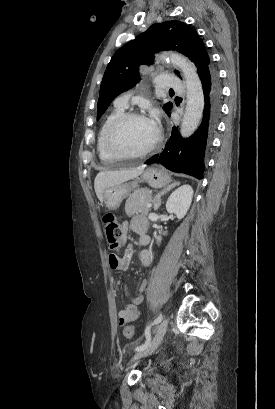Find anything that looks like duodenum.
Returning <instances> with one entry per match:
<instances>
[{
	"label": "duodenum",
	"instance_id": "obj_1",
	"mask_svg": "<svg viewBox=\"0 0 275 409\" xmlns=\"http://www.w3.org/2000/svg\"><path fill=\"white\" fill-rule=\"evenodd\" d=\"M136 231L140 234L144 233L146 231V225L145 224H140L136 227Z\"/></svg>",
	"mask_w": 275,
	"mask_h": 409
}]
</instances>
